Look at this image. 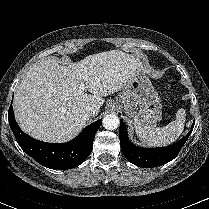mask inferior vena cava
Instances as JSON below:
<instances>
[{
    "label": "inferior vena cava",
    "instance_id": "obj_1",
    "mask_svg": "<svg viewBox=\"0 0 209 209\" xmlns=\"http://www.w3.org/2000/svg\"><path fill=\"white\" fill-rule=\"evenodd\" d=\"M97 111L98 110L96 108H94L93 106H87L85 108V114L87 116H94L95 114H97Z\"/></svg>",
    "mask_w": 209,
    "mask_h": 209
}]
</instances>
